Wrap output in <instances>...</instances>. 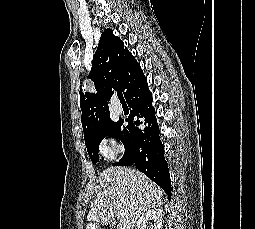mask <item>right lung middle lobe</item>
<instances>
[{"label":"right lung middle lobe","instance_id":"right-lung-middle-lobe-1","mask_svg":"<svg viewBox=\"0 0 255 229\" xmlns=\"http://www.w3.org/2000/svg\"><path fill=\"white\" fill-rule=\"evenodd\" d=\"M122 124L123 121L121 120L114 122L111 119H108L97 128L91 138L85 141L88 154L93 164L99 161V144L106 136H115L119 138L125 146V154L123 158L129 155L131 151V142L127 136L126 128L122 127ZM117 164L118 162L114 163V165Z\"/></svg>","mask_w":255,"mask_h":229}]
</instances>
